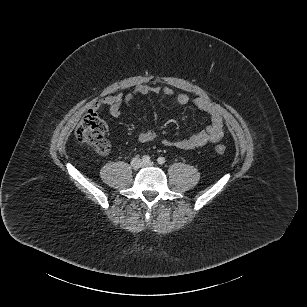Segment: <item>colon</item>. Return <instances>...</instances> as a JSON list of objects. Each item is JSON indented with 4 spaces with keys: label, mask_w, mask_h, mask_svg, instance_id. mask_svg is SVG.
Returning <instances> with one entry per match:
<instances>
[{
    "label": "colon",
    "mask_w": 307,
    "mask_h": 307,
    "mask_svg": "<svg viewBox=\"0 0 307 307\" xmlns=\"http://www.w3.org/2000/svg\"><path fill=\"white\" fill-rule=\"evenodd\" d=\"M76 136L78 140L95 149L99 154H106L110 150V143L106 138V125L99 118L95 110H89L80 122ZM215 151L218 155L225 153V147L216 145Z\"/></svg>",
    "instance_id": "obj_1"
}]
</instances>
